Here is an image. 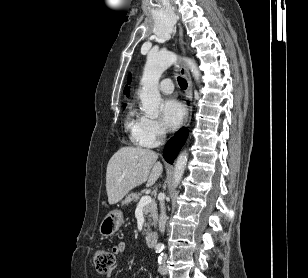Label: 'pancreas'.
<instances>
[{"label":"pancreas","instance_id":"obj_1","mask_svg":"<svg viewBox=\"0 0 308 278\" xmlns=\"http://www.w3.org/2000/svg\"><path fill=\"white\" fill-rule=\"evenodd\" d=\"M140 193H130L127 197L122 201L123 205H128L129 203L138 202ZM143 213L145 218L149 221L145 224L147 230H150V225L155 224L157 221V205L155 201H151L149 204L145 205L143 208Z\"/></svg>","mask_w":308,"mask_h":278}]
</instances>
